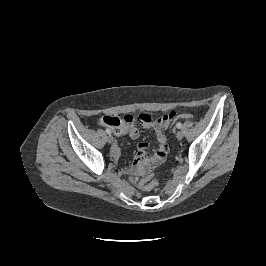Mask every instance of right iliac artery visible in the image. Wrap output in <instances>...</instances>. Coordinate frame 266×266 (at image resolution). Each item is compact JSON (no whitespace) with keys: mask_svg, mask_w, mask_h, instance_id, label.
Instances as JSON below:
<instances>
[{"mask_svg":"<svg viewBox=\"0 0 266 266\" xmlns=\"http://www.w3.org/2000/svg\"><path fill=\"white\" fill-rule=\"evenodd\" d=\"M107 134H111V130L110 129H106L105 130Z\"/></svg>","mask_w":266,"mask_h":266,"instance_id":"82829eb1","label":"right iliac artery"}]
</instances>
